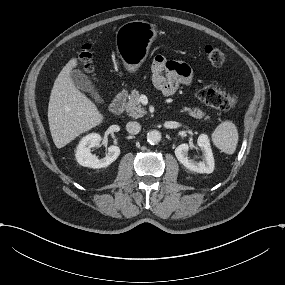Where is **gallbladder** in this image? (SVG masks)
I'll use <instances>...</instances> for the list:
<instances>
[{
	"label": "gallbladder",
	"instance_id": "bac80fb5",
	"mask_svg": "<svg viewBox=\"0 0 285 285\" xmlns=\"http://www.w3.org/2000/svg\"><path fill=\"white\" fill-rule=\"evenodd\" d=\"M70 77L73 80L74 85L81 91L90 93L96 103L104 102L98 92L94 89V86L87 75L80 70H73L70 72Z\"/></svg>",
	"mask_w": 285,
	"mask_h": 285
}]
</instances>
